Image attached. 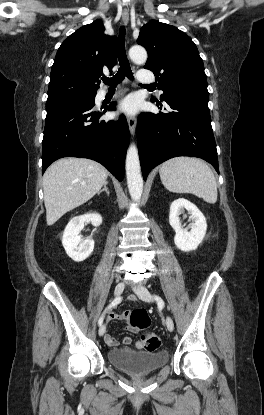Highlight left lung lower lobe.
<instances>
[{"instance_id": "1", "label": "left lung lower lobe", "mask_w": 264, "mask_h": 415, "mask_svg": "<svg viewBox=\"0 0 264 415\" xmlns=\"http://www.w3.org/2000/svg\"><path fill=\"white\" fill-rule=\"evenodd\" d=\"M208 100L209 95L179 93L164 100L168 113L140 114L137 140L144 180L152 168L177 156L204 159L219 173Z\"/></svg>"}]
</instances>
